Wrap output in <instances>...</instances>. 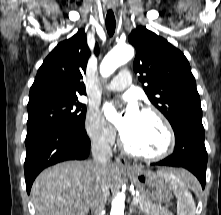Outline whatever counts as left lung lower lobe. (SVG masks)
<instances>
[{
  "label": "left lung lower lobe",
  "instance_id": "1",
  "mask_svg": "<svg viewBox=\"0 0 221 215\" xmlns=\"http://www.w3.org/2000/svg\"><path fill=\"white\" fill-rule=\"evenodd\" d=\"M173 130L175 133V149L173 154L152 165L183 167L198 178L204 189L207 152L204 144L202 120L181 118Z\"/></svg>",
  "mask_w": 221,
  "mask_h": 215
}]
</instances>
